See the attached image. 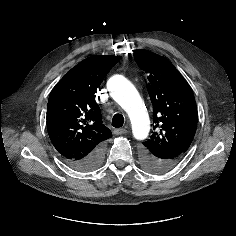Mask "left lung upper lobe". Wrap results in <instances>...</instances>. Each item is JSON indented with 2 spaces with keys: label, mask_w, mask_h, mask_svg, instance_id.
Returning a JSON list of instances; mask_svg holds the SVG:
<instances>
[{
  "label": "left lung upper lobe",
  "mask_w": 236,
  "mask_h": 236,
  "mask_svg": "<svg viewBox=\"0 0 236 236\" xmlns=\"http://www.w3.org/2000/svg\"><path fill=\"white\" fill-rule=\"evenodd\" d=\"M134 59L148 73V90L153 105V132L143 143L141 162L157 172L164 156L186 153L197 128V107L192 90L175 66L148 50H135Z\"/></svg>",
  "instance_id": "obj_1"
}]
</instances>
